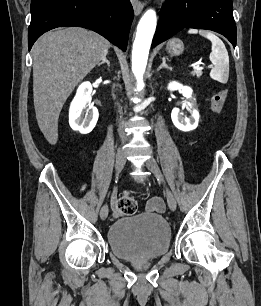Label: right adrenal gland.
<instances>
[{
    "label": "right adrenal gland",
    "instance_id": "1",
    "mask_svg": "<svg viewBox=\"0 0 261 306\" xmlns=\"http://www.w3.org/2000/svg\"><path fill=\"white\" fill-rule=\"evenodd\" d=\"M105 63L107 64L108 67H110V62H109V60L106 57L102 60L101 63L98 64V66H101V65H103Z\"/></svg>",
    "mask_w": 261,
    "mask_h": 306
}]
</instances>
